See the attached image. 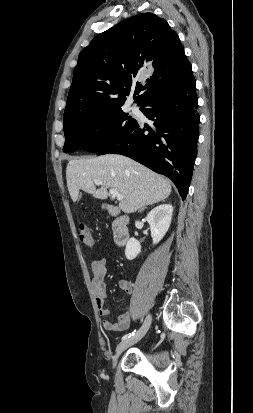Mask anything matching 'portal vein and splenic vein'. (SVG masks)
Masks as SVG:
<instances>
[{
  "label": "portal vein and splenic vein",
  "mask_w": 253,
  "mask_h": 413,
  "mask_svg": "<svg viewBox=\"0 0 253 413\" xmlns=\"http://www.w3.org/2000/svg\"><path fill=\"white\" fill-rule=\"evenodd\" d=\"M95 185H102V182L100 180H94ZM109 193L113 196L116 197L118 200L123 199V195H121L116 189H110Z\"/></svg>",
  "instance_id": "18ae733b"
}]
</instances>
